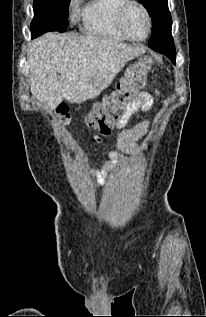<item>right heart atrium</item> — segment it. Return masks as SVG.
Returning a JSON list of instances; mask_svg holds the SVG:
<instances>
[{
    "mask_svg": "<svg viewBox=\"0 0 206 317\" xmlns=\"http://www.w3.org/2000/svg\"><path fill=\"white\" fill-rule=\"evenodd\" d=\"M79 0H72L71 4L75 5Z\"/></svg>",
    "mask_w": 206,
    "mask_h": 317,
    "instance_id": "d8ad5b80",
    "label": "right heart atrium"
}]
</instances>
